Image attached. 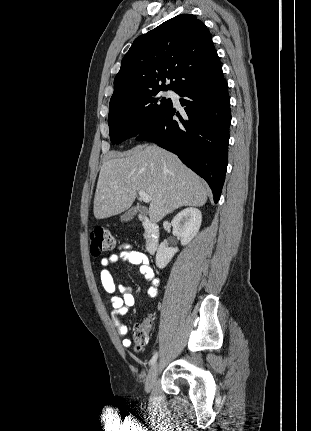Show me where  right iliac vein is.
Returning <instances> with one entry per match:
<instances>
[{
  "label": "right iliac vein",
  "mask_w": 311,
  "mask_h": 431,
  "mask_svg": "<svg viewBox=\"0 0 311 431\" xmlns=\"http://www.w3.org/2000/svg\"><path fill=\"white\" fill-rule=\"evenodd\" d=\"M158 371H159V365L158 363H154L151 367V369L149 370L147 379H146V383H145V391L147 393H149L151 391V389L154 386V383L156 381L157 375H158Z\"/></svg>",
  "instance_id": "right-iliac-vein-1"
}]
</instances>
